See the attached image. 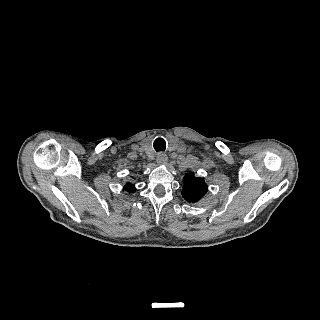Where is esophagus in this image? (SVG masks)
I'll list each match as a JSON object with an SVG mask.
<instances>
[{
  "label": "esophagus",
  "mask_w": 320,
  "mask_h": 320,
  "mask_svg": "<svg viewBox=\"0 0 320 320\" xmlns=\"http://www.w3.org/2000/svg\"><path fill=\"white\" fill-rule=\"evenodd\" d=\"M156 160L159 165H164L167 163L168 157L165 153H159Z\"/></svg>",
  "instance_id": "34e87169"
}]
</instances>
